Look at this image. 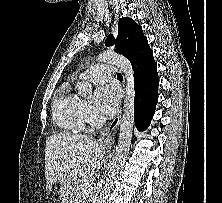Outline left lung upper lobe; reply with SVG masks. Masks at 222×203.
Segmentation results:
<instances>
[{"instance_id":"left-lung-upper-lobe-1","label":"left lung upper lobe","mask_w":222,"mask_h":203,"mask_svg":"<svg viewBox=\"0 0 222 203\" xmlns=\"http://www.w3.org/2000/svg\"><path fill=\"white\" fill-rule=\"evenodd\" d=\"M146 40L141 26L129 17H123L118 22L117 39L115 40L113 35H109L105 44L107 46L115 44V51L132 62Z\"/></svg>"}]
</instances>
